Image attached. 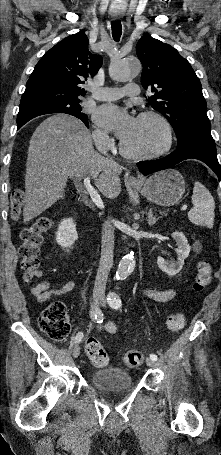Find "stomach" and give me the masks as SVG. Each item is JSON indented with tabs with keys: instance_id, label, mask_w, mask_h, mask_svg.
I'll list each match as a JSON object with an SVG mask.
<instances>
[{
	"instance_id": "1",
	"label": "stomach",
	"mask_w": 221,
	"mask_h": 455,
	"mask_svg": "<svg viewBox=\"0 0 221 455\" xmlns=\"http://www.w3.org/2000/svg\"><path fill=\"white\" fill-rule=\"evenodd\" d=\"M139 187L141 193L150 202L160 206L177 204L185 192V180L175 169L157 172L147 178L144 183L132 184Z\"/></svg>"
}]
</instances>
